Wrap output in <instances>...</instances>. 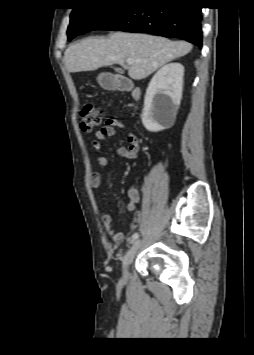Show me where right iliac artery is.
<instances>
[{
	"label": "right iliac artery",
	"instance_id": "right-iliac-artery-1",
	"mask_svg": "<svg viewBox=\"0 0 254 355\" xmlns=\"http://www.w3.org/2000/svg\"><path fill=\"white\" fill-rule=\"evenodd\" d=\"M139 237V234L137 232H135L133 235H132V240H136L138 239Z\"/></svg>",
	"mask_w": 254,
	"mask_h": 355
}]
</instances>
